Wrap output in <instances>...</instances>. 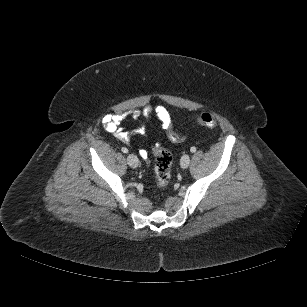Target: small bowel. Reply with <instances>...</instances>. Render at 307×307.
Returning a JSON list of instances; mask_svg holds the SVG:
<instances>
[{
	"label": "small bowel",
	"mask_w": 307,
	"mask_h": 307,
	"mask_svg": "<svg viewBox=\"0 0 307 307\" xmlns=\"http://www.w3.org/2000/svg\"><path fill=\"white\" fill-rule=\"evenodd\" d=\"M153 112L156 113V116L160 120L162 127L167 128L171 123L170 116L168 111L161 106H157L155 109H153L151 106H146L143 109L142 113H140L139 111L133 112L132 118L134 120H137L141 116H143L145 119H149L152 116ZM124 117L125 115L123 113L106 114L102 118V124L107 132L111 133L112 135L119 138L123 142H128L129 135L121 128V123ZM139 154L144 159L148 157V152L145 149H141L139 151Z\"/></svg>",
	"instance_id": "small-bowel-1"
}]
</instances>
